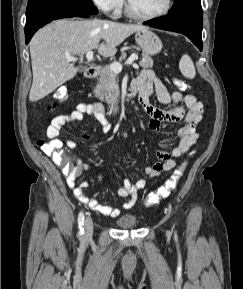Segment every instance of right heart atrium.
Segmentation results:
<instances>
[{
    "mask_svg": "<svg viewBox=\"0 0 243 289\" xmlns=\"http://www.w3.org/2000/svg\"><path fill=\"white\" fill-rule=\"evenodd\" d=\"M93 2L105 12L117 15L122 7L123 0H93Z\"/></svg>",
    "mask_w": 243,
    "mask_h": 289,
    "instance_id": "right-heart-atrium-1",
    "label": "right heart atrium"
}]
</instances>
